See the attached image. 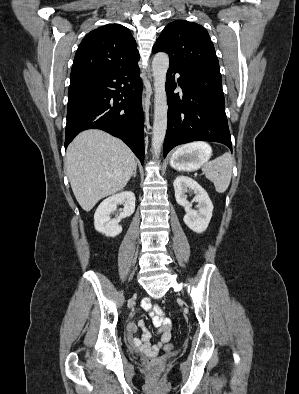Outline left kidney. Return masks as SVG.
<instances>
[{
	"label": "left kidney",
	"instance_id": "obj_1",
	"mask_svg": "<svg viewBox=\"0 0 299 394\" xmlns=\"http://www.w3.org/2000/svg\"><path fill=\"white\" fill-rule=\"evenodd\" d=\"M175 199L184 207L186 215L183 220L185 224L196 233H203L211 220L213 204L207 192L193 179L186 176H178L173 183ZM191 189L195 193L193 202L198 205V210L192 209V203L187 201L185 193Z\"/></svg>",
	"mask_w": 299,
	"mask_h": 394
}]
</instances>
